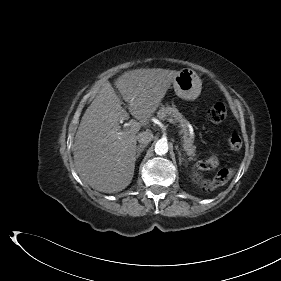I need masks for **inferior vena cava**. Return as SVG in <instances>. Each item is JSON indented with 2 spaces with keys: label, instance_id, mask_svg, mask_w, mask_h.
<instances>
[{
  "label": "inferior vena cava",
  "instance_id": "602c4592",
  "mask_svg": "<svg viewBox=\"0 0 281 281\" xmlns=\"http://www.w3.org/2000/svg\"><path fill=\"white\" fill-rule=\"evenodd\" d=\"M153 133L150 130H146L143 132H140L137 135V141L141 144V145H147L149 142H151L153 140Z\"/></svg>",
  "mask_w": 281,
  "mask_h": 281
}]
</instances>
